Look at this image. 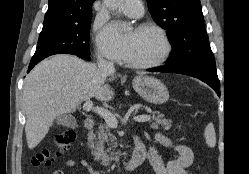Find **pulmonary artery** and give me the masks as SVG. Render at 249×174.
Returning a JSON list of instances; mask_svg holds the SVG:
<instances>
[{"mask_svg": "<svg viewBox=\"0 0 249 174\" xmlns=\"http://www.w3.org/2000/svg\"><path fill=\"white\" fill-rule=\"evenodd\" d=\"M122 8L128 16L139 17L143 11V2L142 0H124Z\"/></svg>", "mask_w": 249, "mask_h": 174, "instance_id": "1", "label": "pulmonary artery"}]
</instances>
